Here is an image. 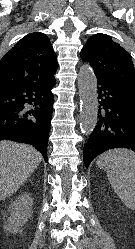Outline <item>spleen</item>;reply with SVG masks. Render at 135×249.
Returning a JSON list of instances; mask_svg holds the SVG:
<instances>
[{
    "label": "spleen",
    "mask_w": 135,
    "mask_h": 249,
    "mask_svg": "<svg viewBox=\"0 0 135 249\" xmlns=\"http://www.w3.org/2000/svg\"><path fill=\"white\" fill-rule=\"evenodd\" d=\"M97 165L106 168L108 180L125 206L135 210V153L115 149L101 155Z\"/></svg>",
    "instance_id": "obj_1"
}]
</instances>
